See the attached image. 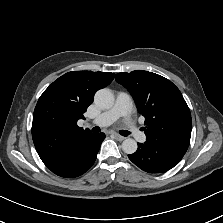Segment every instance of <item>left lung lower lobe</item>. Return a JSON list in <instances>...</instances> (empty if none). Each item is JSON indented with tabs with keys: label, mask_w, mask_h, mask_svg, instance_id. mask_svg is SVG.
<instances>
[{
	"label": "left lung lower lobe",
	"mask_w": 223,
	"mask_h": 223,
	"mask_svg": "<svg viewBox=\"0 0 223 223\" xmlns=\"http://www.w3.org/2000/svg\"><path fill=\"white\" fill-rule=\"evenodd\" d=\"M184 154L167 150L146 141L138 143L135 153L129 159L142 170L149 173L165 172L179 163Z\"/></svg>",
	"instance_id": "obj_1"
}]
</instances>
